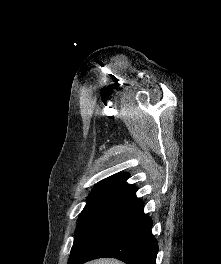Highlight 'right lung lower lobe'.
<instances>
[{
	"instance_id": "right-lung-lower-lobe-1",
	"label": "right lung lower lobe",
	"mask_w": 221,
	"mask_h": 264,
	"mask_svg": "<svg viewBox=\"0 0 221 264\" xmlns=\"http://www.w3.org/2000/svg\"><path fill=\"white\" fill-rule=\"evenodd\" d=\"M137 188L123 193L98 225L81 252L68 264L113 257L127 264H155L158 245L151 233L152 220L144 214Z\"/></svg>"
}]
</instances>
